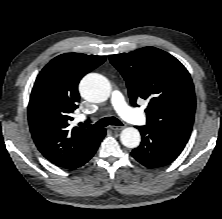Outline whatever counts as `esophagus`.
Returning <instances> with one entry per match:
<instances>
[{
  "mask_svg": "<svg viewBox=\"0 0 222 219\" xmlns=\"http://www.w3.org/2000/svg\"><path fill=\"white\" fill-rule=\"evenodd\" d=\"M124 127L123 126H111L110 129L113 131H119L122 130Z\"/></svg>",
  "mask_w": 222,
  "mask_h": 219,
  "instance_id": "34e87169",
  "label": "esophagus"
}]
</instances>
